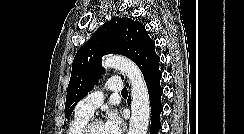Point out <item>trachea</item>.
<instances>
[{"label": "trachea", "instance_id": "obj_1", "mask_svg": "<svg viewBox=\"0 0 244 134\" xmlns=\"http://www.w3.org/2000/svg\"><path fill=\"white\" fill-rule=\"evenodd\" d=\"M122 95H123V96H124V95H128L127 88H124V89L122 90Z\"/></svg>", "mask_w": 244, "mask_h": 134}]
</instances>
